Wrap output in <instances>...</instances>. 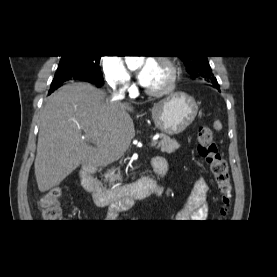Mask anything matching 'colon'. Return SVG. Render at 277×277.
I'll list each match as a JSON object with an SVG mask.
<instances>
[{
	"instance_id": "5ec220e1",
	"label": "colon",
	"mask_w": 277,
	"mask_h": 277,
	"mask_svg": "<svg viewBox=\"0 0 277 277\" xmlns=\"http://www.w3.org/2000/svg\"><path fill=\"white\" fill-rule=\"evenodd\" d=\"M197 142L198 153L209 165L220 193V213L222 216H227L231 207L233 193V186L227 162L220 154L218 145L209 127H200L197 134ZM60 194V189L54 187L40 197L38 206L43 222H58L62 213V207L59 200Z\"/></svg>"
}]
</instances>
